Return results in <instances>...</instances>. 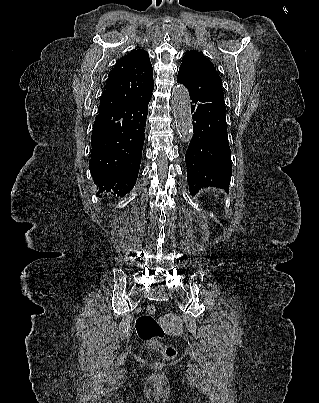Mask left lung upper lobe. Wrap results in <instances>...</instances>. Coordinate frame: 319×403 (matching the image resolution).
Instances as JSON below:
<instances>
[{
    "label": "left lung upper lobe",
    "instance_id": "1",
    "mask_svg": "<svg viewBox=\"0 0 319 403\" xmlns=\"http://www.w3.org/2000/svg\"><path fill=\"white\" fill-rule=\"evenodd\" d=\"M179 70L185 72L195 81L222 89V80L212 62L198 51L187 52L182 59Z\"/></svg>",
    "mask_w": 319,
    "mask_h": 403
}]
</instances>
